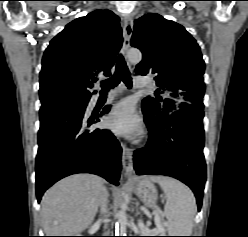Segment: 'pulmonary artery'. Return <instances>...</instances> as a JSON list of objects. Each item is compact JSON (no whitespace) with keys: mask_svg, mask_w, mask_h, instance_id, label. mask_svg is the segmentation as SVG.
Instances as JSON below:
<instances>
[{"mask_svg":"<svg viewBox=\"0 0 248 237\" xmlns=\"http://www.w3.org/2000/svg\"><path fill=\"white\" fill-rule=\"evenodd\" d=\"M134 84L136 88L142 89V88H147L149 86V81L146 78L137 77L134 79ZM111 95L112 94L110 93L109 96ZM96 98H99V95H97Z\"/></svg>","mask_w":248,"mask_h":237,"instance_id":"1","label":"pulmonary artery"}]
</instances>
